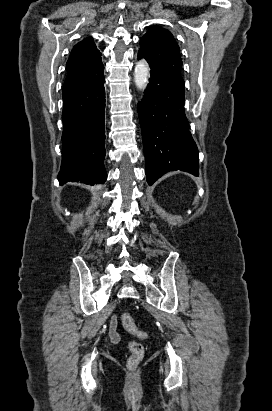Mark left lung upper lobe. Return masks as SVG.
<instances>
[{
  "instance_id": "1",
  "label": "left lung upper lobe",
  "mask_w": 272,
  "mask_h": 411,
  "mask_svg": "<svg viewBox=\"0 0 272 411\" xmlns=\"http://www.w3.org/2000/svg\"><path fill=\"white\" fill-rule=\"evenodd\" d=\"M138 53L142 54L150 63L184 83L181 77L180 48L168 30L150 27L140 39Z\"/></svg>"
}]
</instances>
